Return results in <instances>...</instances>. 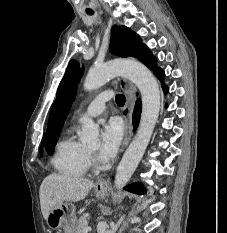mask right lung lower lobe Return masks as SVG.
Masks as SVG:
<instances>
[{
  "label": "right lung lower lobe",
  "mask_w": 227,
  "mask_h": 233,
  "mask_svg": "<svg viewBox=\"0 0 227 233\" xmlns=\"http://www.w3.org/2000/svg\"><path fill=\"white\" fill-rule=\"evenodd\" d=\"M138 121H139V114H138V109H137V105H136L134 115H133V123H134L135 127L137 126Z\"/></svg>",
  "instance_id": "right-lung-lower-lobe-1"
}]
</instances>
